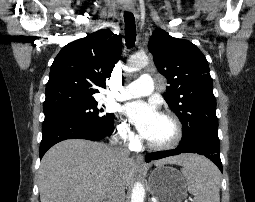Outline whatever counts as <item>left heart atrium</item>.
Wrapping results in <instances>:
<instances>
[{"instance_id": "39dd6f15", "label": "left heart atrium", "mask_w": 255, "mask_h": 202, "mask_svg": "<svg viewBox=\"0 0 255 202\" xmlns=\"http://www.w3.org/2000/svg\"><path fill=\"white\" fill-rule=\"evenodd\" d=\"M123 113L135 125L139 133L145 138L159 116L154 105L142 101L127 103Z\"/></svg>"}]
</instances>
